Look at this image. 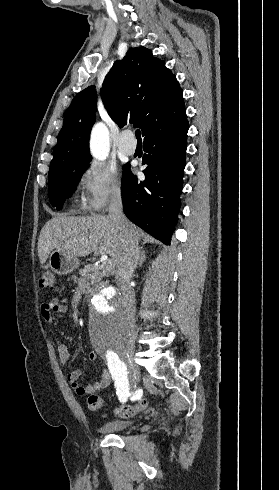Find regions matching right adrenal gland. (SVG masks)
I'll return each instance as SVG.
<instances>
[{
	"label": "right adrenal gland",
	"mask_w": 279,
	"mask_h": 490,
	"mask_svg": "<svg viewBox=\"0 0 279 490\" xmlns=\"http://www.w3.org/2000/svg\"><path fill=\"white\" fill-rule=\"evenodd\" d=\"M145 260H146V254L144 252V248H141L140 256H139V260H138V264H137L136 268H142V264H143V262H145ZM136 268H135V270H136Z\"/></svg>",
	"instance_id": "1"
}]
</instances>
